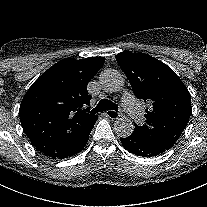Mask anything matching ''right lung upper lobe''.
I'll return each mask as SVG.
<instances>
[{
    "label": "right lung upper lobe",
    "mask_w": 207,
    "mask_h": 207,
    "mask_svg": "<svg viewBox=\"0 0 207 207\" xmlns=\"http://www.w3.org/2000/svg\"><path fill=\"white\" fill-rule=\"evenodd\" d=\"M104 57L64 59L50 67L29 88L20 105V121L32 144L47 156L60 153L97 119L86 105L87 84Z\"/></svg>",
    "instance_id": "cb5924a9"
}]
</instances>
